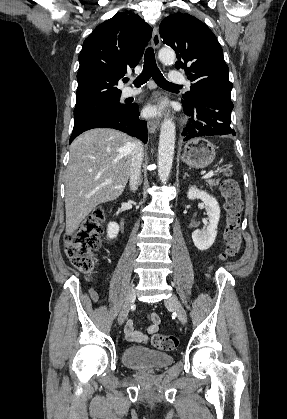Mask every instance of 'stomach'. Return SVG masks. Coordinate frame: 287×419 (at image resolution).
Masks as SVG:
<instances>
[{
    "label": "stomach",
    "instance_id": "stomach-1",
    "mask_svg": "<svg viewBox=\"0 0 287 419\" xmlns=\"http://www.w3.org/2000/svg\"><path fill=\"white\" fill-rule=\"evenodd\" d=\"M215 148L205 138H193L189 140L183 150L182 161L188 166L202 169L209 166L215 159Z\"/></svg>",
    "mask_w": 287,
    "mask_h": 419
}]
</instances>
